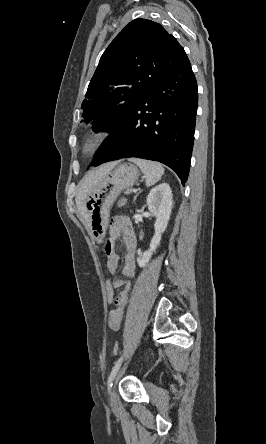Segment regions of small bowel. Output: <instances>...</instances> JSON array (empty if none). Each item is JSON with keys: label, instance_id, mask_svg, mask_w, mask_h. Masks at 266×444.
<instances>
[{"label": "small bowel", "instance_id": "small-bowel-1", "mask_svg": "<svg viewBox=\"0 0 266 444\" xmlns=\"http://www.w3.org/2000/svg\"><path fill=\"white\" fill-rule=\"evenodd\" d=\"M121 237L125 246L124 263L121 274L126 278L135 275L136 238L130 220L126 216H116L110 222L109 235L106 239L104 250L107 256L108 270L116 274L118 272L120 256L115 249L116 241ZM116 288L124 287L114 302V307L109 312V328L116 332L120 329L124 312L128 304L130 282L119 277L114 278Z\"/></svg>", "mask_w": 266, "mask_h": 444}]
</instances>
